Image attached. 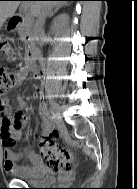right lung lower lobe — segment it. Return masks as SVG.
Instances as JSON below:
<instances>
[{
    "mask_svg": "<svg viewBox=\"0 0 137 189\" xmlns=\"http://www.w3.org/2000/svg\"><path fill=\"white\" fill-rule=\"evenodd\" d=\"M68 1H76V0H68Z\"/></svg>",
    "mask_w": 137,
    "mask_h": 189,
    "instance_id": "1",
    "label": "right lung lower lobe"
}]
</instances>
